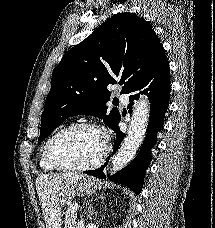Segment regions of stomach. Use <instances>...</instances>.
I'll use <instances>...</instances> for the list:
<instances>
[{
    "label": "stomach",
    "mask_w": 215,
    "mask_h": 228,
    "mask_svg": "<svg viewBox=\"0 0 215 228\" xmlns=\"http://www.w3.org/2000/svg\"><path fill=\"white\" fill-rule=\"evenodd\" d=\"M98 186H101L99 180L98 182H93L91 178H87V180L75 182V184H65V186H62L60 196H64V198H74L76 194L91 196V194L97 192Z\"/></svg>",
    "instance_id": "0dacf381"
}]
</instances>
